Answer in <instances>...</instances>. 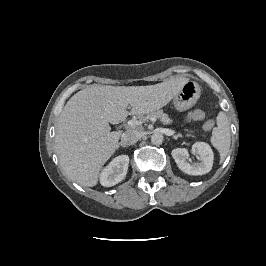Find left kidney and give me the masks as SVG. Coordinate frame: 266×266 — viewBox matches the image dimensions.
Listing matches in <instances>:
<instances>
[{
  "instance_id": "left-kidney-1",
  "label": "left kidney",
  "mask_w": 266,
  "mask_h": 266,
  "mask_svg": "<svg viewBox=\"0 0 266 266\" xmlns=\"http://www.w3.org/2000/svg\"><path fill=\"white\" fill-rule=\"evenodd\" d=\"M192 152L198 155L200 162L190 164L187 160L189 152L186 148H176L172 150L174 158L179 169L189 175H203L211 171L213 166V151L205 142H196L192 146Z\"/></svg>"
}]
</instances>
